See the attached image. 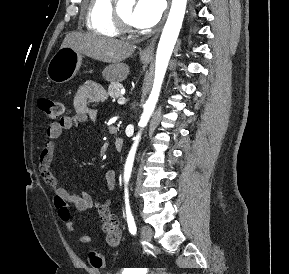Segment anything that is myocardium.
Returning <instances> with one entry per match:
<instances>
[{
  "label": "myocardium",
  "instance_id": "obj_1",
  "mask_svg": "<svg viewBox=\"0 0 289 274\" xmlns=\"http://www.w3.org/2000/svg\"><path fill=\"white\" fill-rule=\"evenodd\" d=\"M114 19H115L116 26L120 32H122V33H133L134 32V28L131 25V23H129L127 20H125L120 15L117 8H114Z\"/></svg>",
  "mask_w": 289,
  "mask_h": 274
}]
</instances>
